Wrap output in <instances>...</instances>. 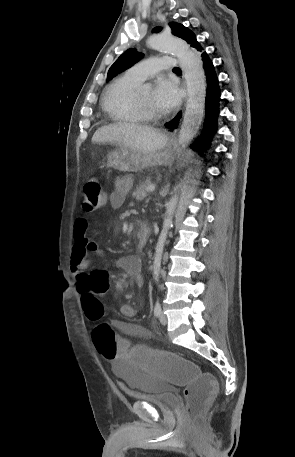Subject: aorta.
<instances>
[{
    "instance_id": "obj_1",
    "label": "aorta",
    "mask_w": 295,
    "mask_h": 457,
    "mask_svg": "<svg viewBox=\"0 0 295 457\" xmlns=\"http://www.w3.org/2000/svg\"><path fill=\"white\" fill-rule=\"evenodd\" d=\"M147 44L156 50H167L179 60L187 84V106L179 133V143L184 148L196 135L204 115L206 79L200 56L190 49L182 39L169 34L151 36ZM177 205L176 195L166 205L165 219L155 249L153 277L158 281L161 260L168 231L172 225L173 214Z\"/></svg>"
}]
</instances>
